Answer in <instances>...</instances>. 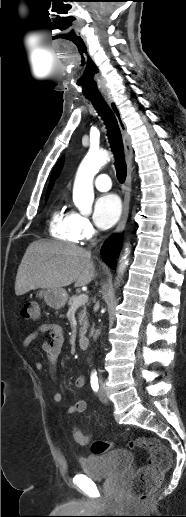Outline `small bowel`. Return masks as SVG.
<instances>
[{
    "label": "small bowel",
    "instance_id": "1",
    "mask_svg": "<svg viewBox=\"0 0 186 517\" xmlns=\"http://www.w3.org/2000/svg\"><path fill=\"white\" fill-rule=\"evenodd\" d=\"M41 336H47V339L43 342L42 347L44 352L46 353L49 372L53 377H55L57 359L64 349V331L62 327H60L59 325L53 323H43L27 335L23 342L24 346L29 347L36 339H38ZM36 366L38 368H42L43 363L37 362ZM85 383V377L79 376L75 379L74 386L76 388H82L84 387ZM53 400L56 403L61 402L62 394L59 392L54 393ZM86 409L87 403L83 400H79L75 404L69 406L65 410V413L67 415H72L74 413L84 412ZM82 435L86 437V440L85 442L79 444H88V442L90 441V437L88 435Z\"/></svg>",
    "mask_w": 186,
    "mask_h": 517
}]
</instances>
